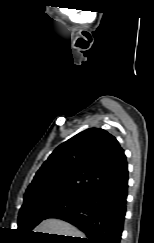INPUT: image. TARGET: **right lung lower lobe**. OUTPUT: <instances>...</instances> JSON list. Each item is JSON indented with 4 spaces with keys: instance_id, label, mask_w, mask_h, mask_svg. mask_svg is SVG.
Listing matches in <instances>:
<instances>
[{
    "instance_id": "obj_1",
    "label": "right lung lower lobe",
    "mask_w": 154,
    "mask_h": 243,
    "mask_svg": "<svg viewBox=\"0 0 154 243\" xmlns=\"http://www.w3.org/2000/svg\"><path fill=\"white\" fill-rule=\"evenodd\" d=\"M128 170L92 192L81 207L54 218L79 228L86 238L76 243H120L126 213Z\"/></svg>"
}]
</instances>
